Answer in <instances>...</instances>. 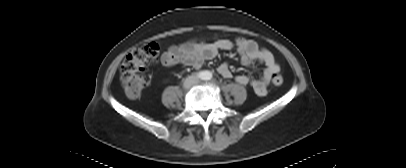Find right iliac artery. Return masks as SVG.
<instances>
[{"instance_id": "right-iliac-artery-1", "label": "right iliac artery", "mask_w": 406, "mask_h": 168, "mask_svg": "<svg viewBox=\"0 0 406 168\" xmlns=\"http://www.w3.org/2000/svg\"><path fill=\"white\" fill-rule=\"evenodd\" d=\"M197 76H198L199 78L203 79V78L205 77V73H204V72H199V73L197 74Z\"/></svg>"}]
</instances>
